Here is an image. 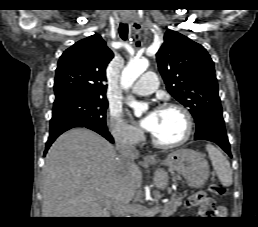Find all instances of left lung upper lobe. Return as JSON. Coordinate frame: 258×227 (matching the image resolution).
I'll list each match as a JSON object with an SVG mask.
<instances>
[{
    "label": "left lung upper lobe",
    "instance_id": "5c2ea615",
    "mask_svg": "<svg viewBox=\"0 0 258 227\" xmlns=\"http://www.w3.org/2000/svg\"><path fill=\"white\" fill-rule=\"evenodd\" d=\"M156 57L168 92L189 107L196 122L195 135L210 127L225 128L214 63L206 49L168 30Z\"/></svg>",
    "mask_w": 258,
    "mask_h": 227
}]
</instances>
